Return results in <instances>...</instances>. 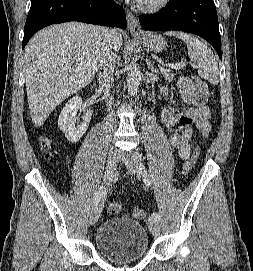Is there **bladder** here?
<instances>
[{
  "label": "bladder",
  "instance_id": "obj_1",
  "mask_svg": "<svg viewBox=\"0 0 253 271\" xmlns=\"http://www.w3.org/2000/svg\"><path fill=\"white\" fill-rule=\"evenodd\" d=\"M145 227L129 218H112L103 222L95 233V246L102 256L116 263L140 259L148 250Z\"/></svg>",
  "mask_w": 253,
  "mask_h": 271
}]
</instances>
